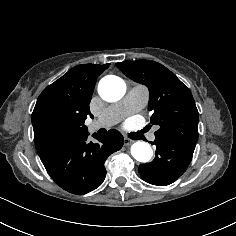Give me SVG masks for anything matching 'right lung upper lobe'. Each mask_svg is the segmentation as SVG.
I'll use <instances>...</instances> for the list:
<instances>
[{"mask_svg": "<svg viewBox=\"0 0 236 236\" xmlns=\"http://www.w3.org/2000/svg\"><path fill=\"white\" fill-rule=\"evenodd\" d=\"M109 65L75 66L43 90L32 113L36 146L43 143L42 130L48 122L92 116L89 103L96 80Z\"/></svg>", "mask_w": 236, "mask_h": 236, "instance_id": "right-lung-upper-lobe-1", "label": "right lung upper lobe"}]
</instances>
